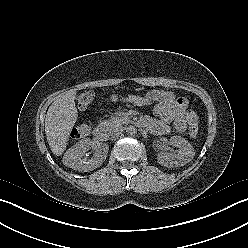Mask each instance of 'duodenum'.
<instances>
[{
    "mask_svg": "<svg viewBox=\"0 0 248 248\" xmlns=\"http://www.w3.org/2000/svg\"><path fill=\"white\" fill-rule=\"evenodd\" d=\"M107 133V127L104 123H99L94 128V134L100 139H104Z\"/></svg>",
    "mask_w": 248,
    "mask_h": 248,
    "instance_id": "1",
    "label": "duodenum"
}]
</instances>
